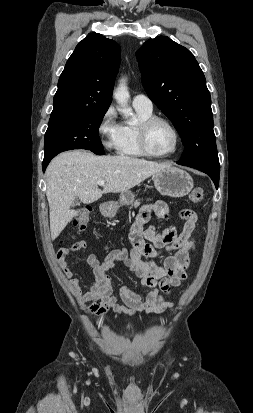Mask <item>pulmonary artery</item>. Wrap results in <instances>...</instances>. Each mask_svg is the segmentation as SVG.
<instances>
[{
	"label": "pulmonary artery",
	"instance_id": "pulmonary-artery-1",
	"mask_svg": "<svg viewBox=\"0 0 253 413\" xmlns=\"http://www.w3.org/2000/svg\"><path fill=\"white\" fill-rule=\"evenodd\" d=\"M132 103L136 109H142L149 112L153 110V103L151 99L144 94L135 95Z\"/></svg>",
	"mask_w": 253,
	"mask_h": 413
}]
</instances>
